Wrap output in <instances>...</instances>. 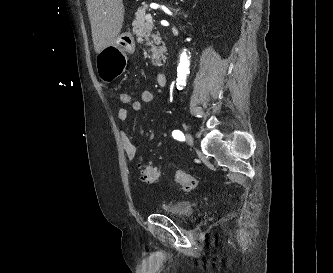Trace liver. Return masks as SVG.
<instances>
[{"label": "liver", "mask_w": 333, "mask_h": 273, "mask_svg": "<svg viewBox=\"0 0 333 273\" xmlns=\"http://www.w3.org/2000/svg\"><path fill=\"white\" fill-rule=\"evenodd\" d=\"M94 49L99 54L113 44L124 20L123 0H87Z\"/></svg>", "instance_id": "obj_1"}]
</instances>
